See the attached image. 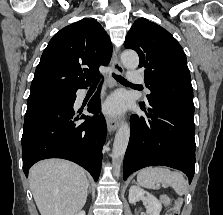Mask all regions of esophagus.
I'll return each mask as SVG.
<instances>
[{
    "instance_id": "1",
    "label": "esophagus",
    "mask_w": 223,
    "mask_h": 215,
    "mask_svg": "<svg viewBox=\"0 0 223 215\" xmlns=\"http://www.w3.org/2000/svg\"><path fill=\"white\" fill-rule=\"evenodd\" d=\"M112 69L116 74H123L124 69L120 62L118 61V54L117 50L113 52V57H112ZM106 122L107 126L109 128V131H115L119 126H120V120L117 118H113V116H106Z\"/></svg>"
}]
</instances>
